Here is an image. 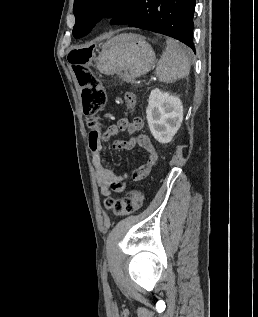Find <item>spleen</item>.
Segmentation results:
<instances>
[{
	"mask_svg": "<svg viewBox=\"0 0 258 317\" xmlns=\"http://www.w3.org/2000/svg\"><path fill=\"white\" fill-rule=\"evenodd\" d=\"M166 42V50L157 62L155 74L162 82H173L178 78H185L190 72L192 50L183 48L173 38H168Z\"/></svg>",
	"mask_w": 258,
	"mask_h": 317,
	"instance_id": "obj_1",
	"label": "spleen"
}]
</instances>
